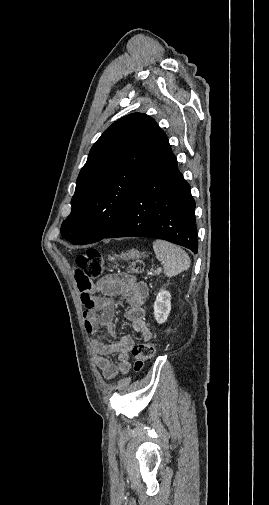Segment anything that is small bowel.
Listing matches in <instances>:
<instances>
[{
	"instance_id": "1",
	"label": "small bowel",
	"mask_w": 269,
	"mask_h": 505,
	"mask_svg": "<svg viewBox=\"0 0 269 505\" xmlns=\"http://www.w3.org/2000/svg\"><path fill=\"white\" fill-rule=\"evenodd\" d=\"M75 265V264H74ZM75 286L81 293V301L86 307L83 312L84 327L91 338V348L94 361L103 377L112 380L118 374L130 371L129 355L134 340L130 335H122L113 343L101 341L97 335L100 328L115 336L114 304L112 297L122 296L128 303L125 318L133 330L140 334L145 341L152 337L145 322L144 303L148 295V288L144 283L135 282L134 278L125 273H115L103 277L99 281H90L84 268L73 266ZM93 283H97L93 286ZM117 353L118 362L112 363L107 356Z\"/></svg>"
}]
</instances>
